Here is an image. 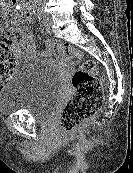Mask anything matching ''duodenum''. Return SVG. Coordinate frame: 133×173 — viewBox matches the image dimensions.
<instances>
[{
    "instance_id": "duodenum-1",
    "label": "duodenum",
    "mask_w": 133,
    "mask_h": 173,
    "mask_svg": "<svg viewBox=\"0 0 133 173\" xmlns=\"http://www.w3.org/2000/svg\"><path fill=\"white\" fill-rule=\"evenodd\" d=\"M14 6H19L24 17L31 19L32 18V9L31 5L25 0H11Z\"/></svg>"
}]
</instances>
